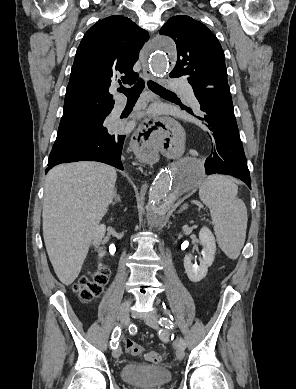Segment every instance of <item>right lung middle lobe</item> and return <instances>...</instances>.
Returning <instances> with one entry per match:
<instances>
[{"mask_svg": "<svg viewBox=\"0 0 296 389\" xmlns=\"http://www.w3.org/2000/svg\"><path fill=\"white\" fill-rule=\"evenodd\" d=\"M107 114H77L61 118L55 143L90 135L102 129Z\"/></svg>", "mask_w": 296, "mask_h": 389, "instance_id": "right-lung-middle-lobe-1", "label": "right lung middle lobe"}]
</instances>
